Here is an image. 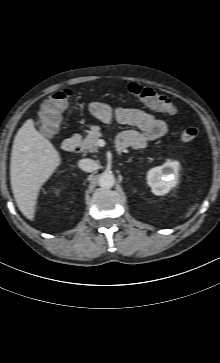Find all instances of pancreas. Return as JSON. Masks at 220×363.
I'll list each match as a JSON object with an SVG mask.
<instances>
[{
  "label": "pancreas",
  "instance_id": "1",
  "mask_svg": "<svg viewBox=\"0 0 220 363\" xmlns=\"http://www.w3.org/2000/svg\"><path fill=\"white\" fill-rule=\"evenodd\" d=\"M102 137L99 128H93L81 142V148L85 152H98V140Z\"/></svg>",
  "mask_w": 220,
  "mask_h": 363
}]
</instances>
